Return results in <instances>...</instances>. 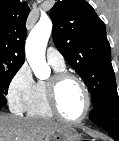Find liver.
<instances>
[{
	"instance_id": "6515ba94",
	"label": "liver",
	"mask_w": 119,
	"mask_h": 141,
	"mask_svg": "<svg viewBox=\"0 0 119 141\" xmlns=\"http://www.w3.org/2000/svg\"><path fill=\"white\" fill-rule=\"evenodd\" d=\"M64 125L48 119L0 114V141H43Z\"/></svg>"
}]
</instances>
